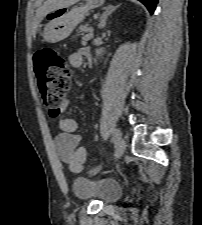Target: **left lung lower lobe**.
Returning <instances> with one entry per match:
<instances>
[{
	"label": "left lung lower lobe",
	"instance_id": "left-lung-lower-lobe-1",
	"mask_svg": "<svg viewBox=\"0 0 202 225\" xmlns=\"http://www.w3.org/2000/svg\"><path fill=\"white\" fill-rule=\"evenodd\" d=\"M143 4H145L151 14L154 13V10L156 8V4L158 3V0H139Z\"/></svg>",
	"mask_w": 202,
	"mask_h": 225
}]
</instances>
